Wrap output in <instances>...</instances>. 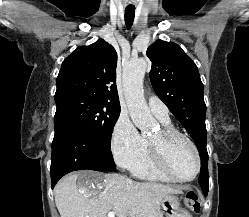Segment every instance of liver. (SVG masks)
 I'll return each mask as SVG.
<instances>
[{
    "mask_svg": "<svg viewBox=\"0 0 249 217\" xmlns=\"http://www.w3.org/2000/svg\"><path fill=\"white\" fill-rule=\"evenodd\" d=\"M86 178L87 186L77 184ZM181 190L163 184L135 182L116 174L78 172L61 179L54 189L60 217H162L161 201Z\"/></svg>",
    "mask_w": 249,
    "mask_h": 217,
    "instance_id": "liver-1",
    "label": "liver"
}]
</instances>
